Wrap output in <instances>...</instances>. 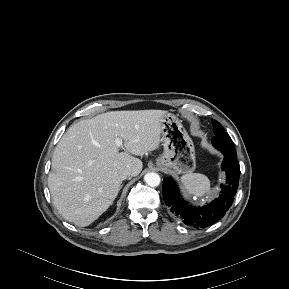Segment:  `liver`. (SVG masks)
<instances>
[{
  "mask_svg": "<svg viewBox=\"0 0 289 289\" xmlns=\"http://www.w3.org/2000/svg\"><path fill=\"white\" fill-rule=\"evenodd\" d=\"M166 111H113L69 127L57 144L48 187L58 212L77 226H88L113 203L121 188L119 173L140 174L135 157L159 148ZM125 152H119L116 139Z\"/></svg>",
  "mask_w": 289,
  "mask_h": 289,
  "instance_id": "obj_1",
  "label": "liver"
}]
</instances>
